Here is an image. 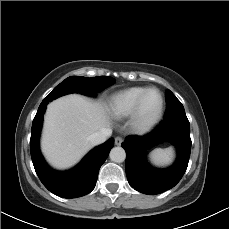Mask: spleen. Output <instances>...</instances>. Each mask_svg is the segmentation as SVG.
<instances>
[{
  "mask_svg": "<svg viewBox=\"0 0 229 229\" xmlns=\"http://www.w3.org/2000/svg\"><path fill=\"white\" fill-rule=\"evenodd\" d=\"M149 158L155 166H167L174 159V149L172 147L166 149H156L150 154Z\"/></svg>",
  "mask_w": 229,
  "mask_h": 229,
  "instance_id": "spleen-1",
  "label": "spleen"
}]
</instances>
